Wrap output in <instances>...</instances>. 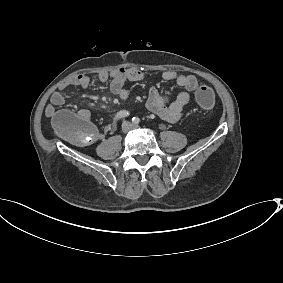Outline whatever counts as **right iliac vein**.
<instances>
[{"label": "right iliac vein", "mask_w": 283, "mask_h": 283, "mask_svg": "<svg viewBox=\"0 0 283 283\" xmlns=\"http://www.w3.org/2000/svg\"><path fill=\"white\" fill-rule=\"evenodd\" d=\"M131 129V124L129 122H124L122 124V132L127 133Z\"/></svg>", "instance_id": "right-iliac-vein-1"}]
</instances>
